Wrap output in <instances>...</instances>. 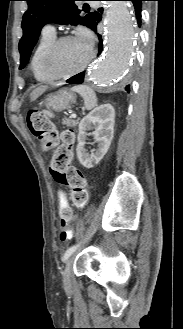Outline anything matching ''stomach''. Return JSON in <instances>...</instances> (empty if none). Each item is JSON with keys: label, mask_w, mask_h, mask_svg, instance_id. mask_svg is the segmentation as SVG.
Wrapping results in <instances>:
<instances>
[{"label": "stomach", "mask_w": 183, "mask_h": 329, "mask_svg": "<svg viewBox=\"0 0 183 329\" xmlns=\"http://www.w3.org/2000/svg\"><path fill=\"white\" fill-rule=\"evenodd\" d=\"M76 100L75 95L67 89H61L55 94L49 95L45 100L46 107L61 112L68 109Z\"/></svg>", "instance_id": "0dacf381"}]
</instances>
